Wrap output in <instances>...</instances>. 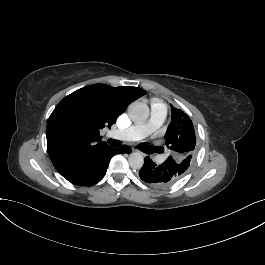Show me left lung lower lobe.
Wrapping results in <instances>:
<instances>
[{
  "label": "left lung lower lobe",
  "mask_w": 265,
  "mask_h": 265,
  "mask_svg": "<svg viewBox=\"0 0 265 265\" xmlns=\"http://www.w3.org/2000/svg\"><path fill=\"white\" fill-rule=\"evenodd\" d=\"M181 166L174 160L167 158L162 164L157 165L150 157H145L139 176L144 182L153 186H167L178 181L183 175Z\"/></svg>",
  "instance_id": "left-lung-lower-lobe-1"
}]
</instances>
